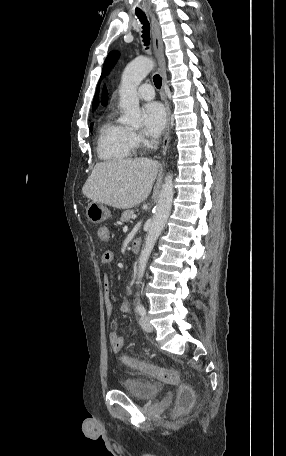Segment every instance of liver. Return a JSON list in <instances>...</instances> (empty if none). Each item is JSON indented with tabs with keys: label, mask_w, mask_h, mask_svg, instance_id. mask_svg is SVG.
I'll return each mask as SVG.
<instances>
[{
	"label": "liver",
	"mask_w": 286,
	"mask_h": 456,
	"mask_svg": "<svg viewBox=\"0 0 286 456\" xmlns=\"http://www.w3.org/2000/svg\"><path fill=\"white\" fill-rule=\"evenodd\" d=\"M158 169L157 161L144 157L100 162L82 192L93 202L129 209L148 197Z\"/></svg>",
	"instance_id": "1"
}]
</instances>
